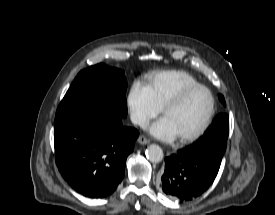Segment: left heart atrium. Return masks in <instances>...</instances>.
Masks as SVG:
<instances>
[{
	"instance_id": "1",
	"label": "left heart atrium",
	"mask_w": 275,
	"mask_h": 215,
	"mask_svg": "<svg viewBox=\"0 0 275 215\" xmlns=\"http://www.w3.org/2000/svg\"><path fill=\"white\" fill-rule=\"evenodd\" d=\"M149 131L155 137L166 141L172 140L176 137L174 129L166 118H162L156 123L152 124L149 127Z\"/></svg>"
}]
</instances>
